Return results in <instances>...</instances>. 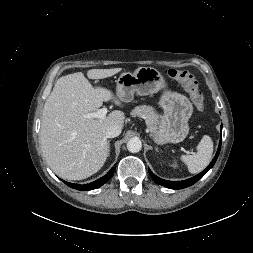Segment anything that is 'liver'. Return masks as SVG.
<instances>
[{"label": "liver", "mask_w": 253, "mask_h": 253, "mask_svg": "<svg viewBox=\"0 0 253 253\" xmlns=\"http://www.w3.org/2000/svg\"><path fill=\"white\" fill-rule=\"evenodd\" d=\"M121 68L91 69L89 79H104ZM121 99L106 88L93 87L82 72L60 77L47 98L41 121L40 144L50 168L61 178L82 180L98 172L108 157L106 130L123 127V112L112 111L104 120L84 118L103 102Z\"/></svg>", "instance_id": "6515ba94"}]
</instances>
